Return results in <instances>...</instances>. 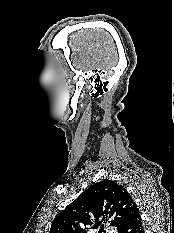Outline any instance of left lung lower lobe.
Instances as JSON below:
<instances>
[{
  "label": "left lung lower lobe",
  "mask_w": 174,
  "mask_h": 233,
  "mask_svg": "<svg viewBox=\"0 0 174 233\" xmlns=\"http://www.w3.org/2000/svg\"><path fill=\"white\" fill-rule=\"evenodd\" d=\"M118 233H144L139 212L118 227Z\"/></svg>",
  "instance_id": "1"
}]
</instances>
